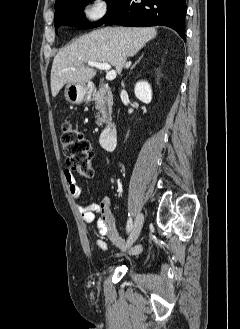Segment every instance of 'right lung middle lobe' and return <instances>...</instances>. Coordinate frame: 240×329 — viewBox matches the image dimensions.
<instances>
[{
    "instance_id": "1",
    "label": "right lung middle lobe",
    "mask_w": 240,
    "mask_h": 329,
    "mask_svg": "<svg viewBox=\"0 0 240 329\" xmlns=\"http://www.w3.org/2000/svg\"><path fill=\"white\" fill-rule=\"evenodd\" d=\"M93 0H68L55 9L54 25L58 28L60 25L76 26L78 28H93L102 25L123 3L124 0H106L107 14L91 25L84 16L83 8L85 4Z\"/></svg>"
}]
</instances>
